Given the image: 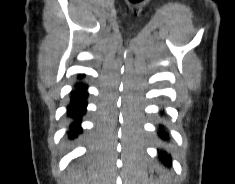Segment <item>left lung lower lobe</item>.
Wrapping results in <instances>:
<instances>
[{
    "label": "left lung lower lobe",
    "mask_w": 235,
    "mask_h": 184,
    "mask_svg": "<svg viewBox=\"0 0 235 184\" xmlns=\"http://www.w3.org/2000/svg\"><path fill=\"white\" fill-rule=\"evenodd\" d=\"M163 129L161 128V131H162ZM165 134V133H164ZM160 160H162L161 158H160ZM167 163H168V167L170 166V160L168 159L167 160Z\"/></svg>",
    "instance_id": "obj_1"
}]
</instances>
